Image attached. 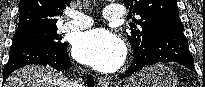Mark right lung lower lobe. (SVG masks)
I'll use <instances>...</instances> for the list:
<instances>
[{"instance_id": "right-lung-lower-lobe-1", "label": "right lung lower lobe", "mask_w": 205, "mask_h": 87, "mask_svg": "<svg viewBox=\"0 0 205 87\" xmlns=\"http://www.w3.org/2000/svg\"><path fill=\"white\" fill-rule=\"evenodd\" d=\"M29 64L49 65L58 71L71 67L70 59L66 53V44L59 48L33 42L12 44L8 63L3 70V83L13 71ZM86 83L89 87H93V77L88 76Z\"/></svg>"}]
</instances>
